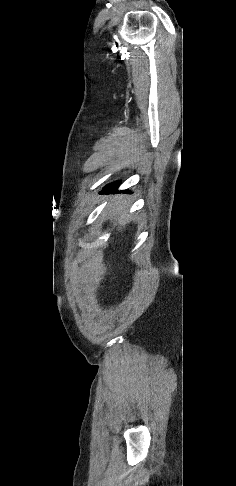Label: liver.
<instances>
[{
  "label": "liver",
  "instance_id": "liver-1",
  "mask_svg": "<svg viewBox=\"0 0 236 486\" xmlns=\"http://www.w3.org/2000/svg\"><path fill=\"white\" fill-rule=\"evenodd\" d=\"M111 218H117L120 225H124L129 217H125V202L122 196L114 198L107 206Z\"/></svg>",
  "mask_w": 236,
  "mask_h": 486
}]
</instances>
